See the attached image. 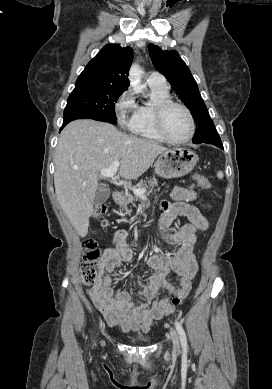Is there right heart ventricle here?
I'll list each match as a JSON object with an SVG mask.
<instances>
[{
  "label": "right heart ventricle",
  "instance_id": "right-heart-ventricle-1",
  "mask_svg": "<svg viewBox=\"0 0 272 389\" xmlns=\"http://www.w3.org/2000/svg\"><path fill=\"white\" fill-rule=\"evenodd\" d=\"M150 102L136 105L134 115L128 123L129 130L141 137L151 140L163 141L162 136L157 132L154 125L153 111L155 106L167 99H170L168 88L149 86Z\"/></svg>",
  "mask_w": 272,
  "mask_h": 389
}]
</instances>
